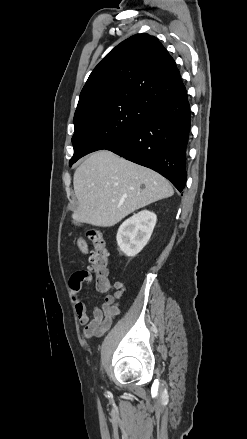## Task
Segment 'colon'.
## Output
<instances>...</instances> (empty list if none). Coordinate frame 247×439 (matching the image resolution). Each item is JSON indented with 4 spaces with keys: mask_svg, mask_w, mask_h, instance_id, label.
<instances>
[{
    "mask_svg": "<svg viewBox=\"0 0 247 439\" xmlns=\"http://www.w3.org/2000/svg\"><path fill=\"white\" fill-rule=\"evenodd\" d=\"M90 243L91 251L89 258V273L96 278V285L99 291L108 289V251L102 233L96 229L88 231L86 238H79L77 246L84 254L89 252Z\"/></svg>",
    "mask_w": 247,
    "mask_h": 439,
    "instance_id": "colon-1",
    "label": "colon"
}]
</instances>
